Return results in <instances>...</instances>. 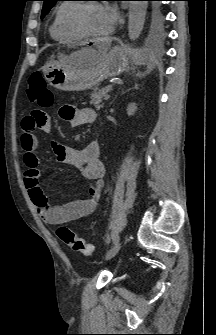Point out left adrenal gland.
<instances>
[{
  "label": "left adrenal gland",
  "mask_w": 216,
  "mask_h": 335,
  "mask_svg": "<svg viewBox=\"0 0 216 335\" xmlns=\"http://www.w3.org/2000/svg\"><path fill=\"white\" fill-rule=\"evenodd\" d=\"M137 88H138V85L135 84L134 87H133V88H130L129 90H131V89H137ZM129 90H128V91H129Z\"/></svg>",
  "instance_id": "1"
}]
</instances>
